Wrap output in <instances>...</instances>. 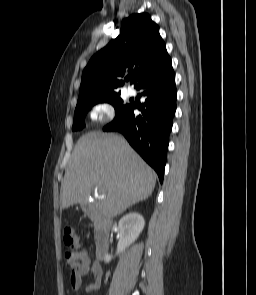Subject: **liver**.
I'll return each instance as SVG.
<instances>
[{
  "mask_svg": "<svg viewBox=\"0 0 256 295\" xmlns=\"http://www.w3.org/2000/svg\"><path fill=\"white\" fill-rule=\"evenodd\" d=\"M157 175L126 140L112 133L89 132L79 138L61 185V207L86 204L94 188L96 208L107 217L122 214L151 196Z\"/></svg>",
  "mask_w": 256,
  "mask_h": 295,
  "instance_id": "liver-1",
  "label": "liver"
}]
</instances>
